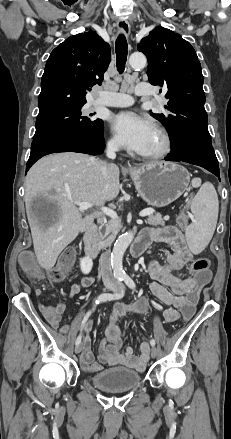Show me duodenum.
<instances>
[{"label": "duodenum", "instance_id": "410a0bca", "mask_svg": "<svg viewBox=\"0 0 231 439\" xmlns=\"http://www.w3.org/2000/svg\"><path fill=\"white\" fill-rule=\"evenodd\" d=\"M85 254L95 259L98 256L99 248L97 245V225L92 223L86 229L83 235ZM148 243L145 239L138 237L131 246V254L134 257L140 256L147 248Z\"/></svg>", "mask_w": 231, "mask_h": 439}]
</instances>
